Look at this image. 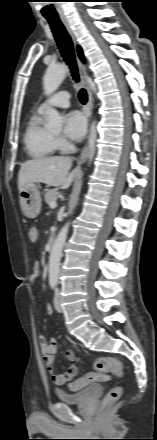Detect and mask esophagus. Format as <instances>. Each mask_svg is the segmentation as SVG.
Segmentation results:
<instances>
[{"label":"esophagus","mask_w":157,"mask_h":440,"mask_svg":"<svg viewBox=\"0 0 157 440\" xmlns=\"http://www.w3.org/2000/svg\"><path fill=\"white\" fill-rule=\"evenodd\" d=\"M61 20H62L64 26L66 27L68 33L70 34L74 44H76L74 33H73L67 19L62 18ZM77 64H78L79 74L81 77L82 84L85 87L87 94H88V102L85 106V113H86L87 118L90 119L92 108H93V94H92V90H91V87H90V84L88 81L86 66L81 62V60L79 58H77ZM87 157H88V146L86 145L81 151V154L78 159V163H83L84 161H86Z\"/></svg>","instance_id":"esophagus-1"}]
</instances>
